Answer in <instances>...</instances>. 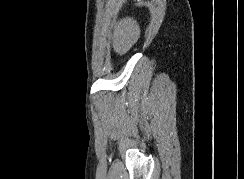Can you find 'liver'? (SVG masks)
<instances>
[{"label":"liver","instance_id":"6515ba94","mask_svg":"<svg viewBox=\"0 0 244 179\" xmlns=\"http://www.w3.org/2000/svg\"><path fill=\"white\" fill-rule=\"evenodd\" d=\"M140 38V26L133 18H122L117 22L113 36V48L116 52L126 54Z\"/></svg>","mask_w":244,"mask_h":179}]
</instances>
